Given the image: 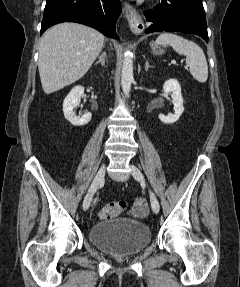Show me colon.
<instances>
[{"mask_svg":"<svg viewBox=\"0 0 240 287\" xmlns=\"http://www.w3.org/2000/svg\"><path fill=\"white\" fill-rule=\"evenodd\" d=\"M126 208L124 201H114L106 205L100 213V217L104 220L112 219L121 214Z\"/></svg>","mask_w":240,"mask_h":287,"instance_id":"obj_1","label":"colon"}]
</instances>
